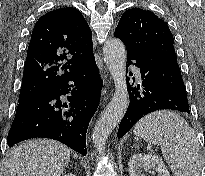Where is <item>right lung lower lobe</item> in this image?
Returning <instances> with one entry per match:
<instances>
[{"label":"right lung lower lobe","instance_id":"98d812e1","mask_svg":"<svg viewBox=\"0 0 205 176\" xmlns=\"http://www.w3.org/2000/svg\"><path fill=\"white\" fill-rule=\"evenodd\" d=\"M101 88L93 58L31 98L16 112L7 137L8 146L42 137L58 140L86 155V131L98 107ZM67 93L71 96L63 103L60 96Z\"/></svg>","mask_w":205,"mask_h":176}]
</instances>
